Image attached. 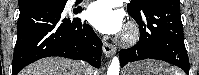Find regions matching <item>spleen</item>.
Listing matches in <instances>:
<instances>
[{
	"mask_svg": "<svg viewBox=\"0 0 199 75\" xmlns=\"http://www.w3.org/2000/svg\"><path fill=\"white\" fill-rule=\"evenodd\" d=\"M175 75H182V73H180L179 71H175Z\"/></svg>",
	"mask_w": 199,
	"mask_h": 75,
	"instance_id": "1",
	"label": "spleen"
}]
</instances>
